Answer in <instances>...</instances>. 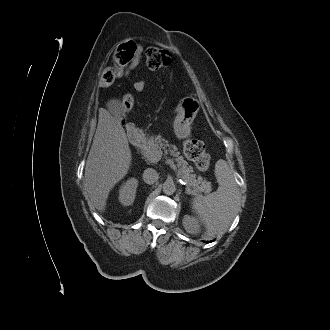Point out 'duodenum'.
<instances>
[{"instance_id":"obj_1","label":"duodenum","mask_w":330,"mask_h":330,"mask_svg":"<svg viewBox=\"0 0 330 330\" xmlns=\"http://www.w3.org/2000/svg\"><path fill=\"white\" fill-rule=\"evenodd\" d=\"M127 136L134 145H139L143 140L142 134L132 126H128Z\"/></svg>"}]
</instances>
